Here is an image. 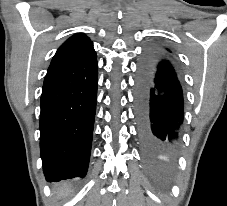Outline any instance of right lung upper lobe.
Instances as JSON below:
<instances>
[{"instance_id": "1", "label": "right lung upper lobe", "mask_w": 227, "mask_h": 206, "mask_svg": "<svg viewBox=\"0 0 227 206\" xmlns=\"http://www.w3.org/2000/svg\"><path fill=\"white\" fill-rule=\"evenodd\" d=\"M96 57L93 43L83 33H78L64 42L54 55L48 71L65 65L83 62Z\"/></svg>"}]
</instances>
